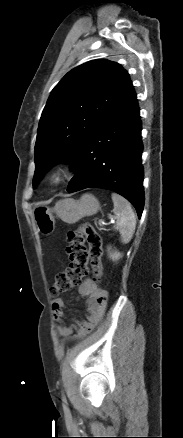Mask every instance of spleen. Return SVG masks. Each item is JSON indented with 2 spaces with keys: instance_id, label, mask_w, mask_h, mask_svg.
Here are the masks:
<instances>
[{
  "instance_id": "3e777b00",
  "label": "spleen",
  "mask_w": 183,
  "mask_h": 438,
  "mask_svg": "<svg viewBox=\"0 0 183 438\" xmlns=\"http://www.w3.org/2000/svg\"><path fill=\"white\" fill-rule=\"evenodd\" d=\"M114 218L116 220L115 229L121 234L123 243H128L133 237L136 227L135 214L131 205L122 196L113 193Z\"/></svg>"
}]
</instances>
